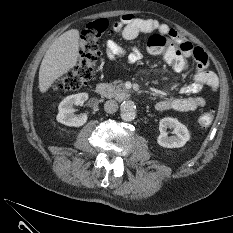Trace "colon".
<instances>
[{"label":"colon","instance_id":"5ec220e1","mask_svg":"<svg viewBox=\"0 0 233 233\" xmlns=\"http://www.w3.org/2000/svg\"><path fill=\"white\" fill-rule=\"evenodd\" d=\"M110 29L106 19L95 20L86 26L81 35L77 65L54 84L55 89L75 91L92 79L94 65L100 56V38ZM147 48L150 53L161 55L174 71L186 70L187 58L169 36L160 33L153 34L147 41ZM213 119L214 111L208 110L198 118L197 125L199 128H206L210 126Z\"/></svg>","mask_w":233,"mask_h":233}]
</instances>
